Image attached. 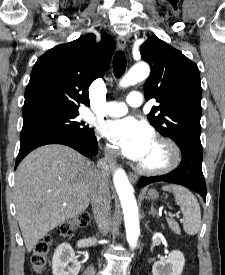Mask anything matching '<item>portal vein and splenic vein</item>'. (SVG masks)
<instances>
[{"label": "portal vein and splenic vein", "instance_id": "1", "mask_svg": "<svg viewBox=\"0 0 225 275\" xmlns=\"http://www.w3.org/2000/svg\"><path fill=\"white\" fill-rule=\"evenodd\" d=\"M170 217H179L178 215H175V214H173V215H169Z\"/></svg>", "mask_w": 225, "mask_h": 275}]
</instances>
